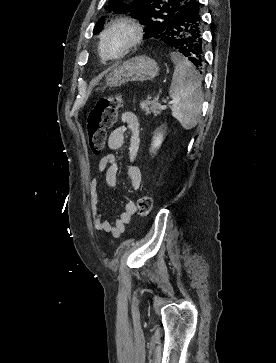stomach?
Wrapping results in <instances>:
<instances>
[{
  "mask_svg": "<svg viewBox=\"0 0 276 363\" xmlns=\"http://www.w3.org/2000/svg\"><path fill=\"white\" fill-rule=\"evenodd\" d=\"M158 63L145 56H138L117 65L106 77V86L119 87L132 81H151L159 75Z\"/></svg>",
  "mask_w": 276,
  "mask_h": 363,
  "instance_id": "obj_1",
  "label": "stomach"
}]
</instances>
